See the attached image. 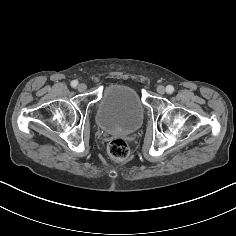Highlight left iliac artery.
Returning a JSON list of instances; mask_svg holds the SVG:
<instances>
[{"label":"left iliac artery","instance_id":"obj_1","mask_svg":"<svg viewBox=\"0 0 236 236\" xmlns=\"http://www.w3.org/2000/svg\"><path fill=\"white\" fill-rule=\"evenodd\" d=\"M166 92H167L168 94H172V93L174 92V87H173L172 85H168V86L166 87Z\"/></svg>","mask_w":236,"mask_h":236}]
</instances>
